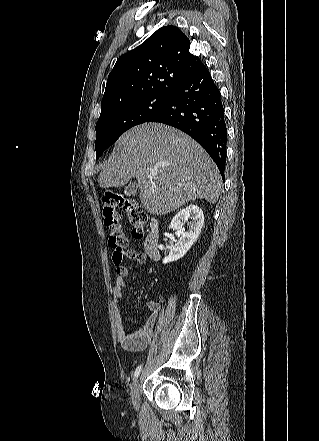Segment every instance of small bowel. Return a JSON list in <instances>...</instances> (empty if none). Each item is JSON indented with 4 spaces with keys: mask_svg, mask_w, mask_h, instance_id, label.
<instances>
[{
    "mask_svg": "<svg viewBox=\"0 0 319 441\" xmlns=\"http://www.w3.org/2000/svg\"><path fill=\"white\" fill-rule=\"evenodd\" d=\"M127 257L138 264L146 262V254L130 250ZM116 265V279L111 289V297L114 308V321L116 327L117 340L119 344L127 351H143L151 342L158 320L160 311V302L158 300H149L146 303L149 314L142 329L136 333H128L125 331L120 311L121 300L123 297V290L126 286V277L128 276V268L121 263Z\"/></svg>",
    "mask_w": 319,
    "mask_h": 441,
    "instance_id": "small-bowel-1",
    "label": "small bowel"
}]
</instances>
